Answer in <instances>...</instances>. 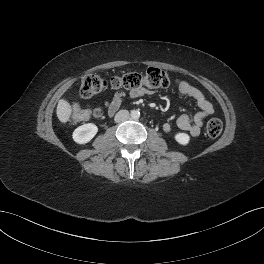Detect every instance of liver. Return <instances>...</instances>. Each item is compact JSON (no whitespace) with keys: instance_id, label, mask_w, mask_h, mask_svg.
<instances>
[{"instance_id":"1","label":"liver","mask_w":264,"mask_h":264,"mask_svg":"<svg viewBox=\"0 0 264 264\" xmlns=\"http://www.w3.org/2000/svg\"><path fill=\"white\" fill-rule=\"evenodd\" d=\"M56 114L60 122H68L72 114L70 103L64 99H60L57 105Z\"/></svg>"}]
</instances>
